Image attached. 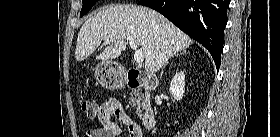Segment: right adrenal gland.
Returning <instances> with one entry per match:
<instances>
[{"mask_svg":"<svg viewBox=\"0 0 280 137\" xmlns=\"http://www.w3.org/2000/svg\"><path fill=\"white\" fill-rule=\"evenodd\" d=\"M182 53L185 54V53H186V50H183Z\"/></svg>","mask_w":280,"mask_h":137,"instance_id":"obj_1","label":"right adrenal gland"}]
</instances>
